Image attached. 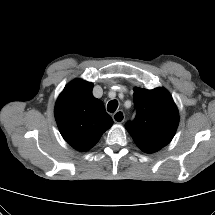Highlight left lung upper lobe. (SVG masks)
<instances>
[{
	"mask_svg": "<svg viewBox=\"0 0 215 215\" xmlns=\"http://www.w3.org/2000/svg\"><path fill=\"white\" fill-rule=\"evenodd\" d=\"M136 116L125 127L145 153H154L170 143L179 122L177 107L164 88H134Z\"/></svg>",
	"mask_w": 215,
	"mask_h": 215,
	"instance_id": "obj_1",
	"label": "left lung upper lobe"
}]
</instances>
